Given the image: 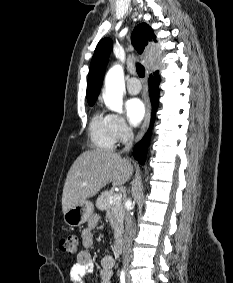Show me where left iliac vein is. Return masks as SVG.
Instances as JSON below:
<instances>
[{
    "label": "left iliac vein",
    "mask_w": 233,
    "mask_h": 283,
    "mask_svg": "<svg viewBox=\"0 0 233 283\" xmlns=\"http://www.w3.org/2000/svg\"><path fill=\"white\" fill-rule=\"evenodd\" d=\"M127 283H131L129 275H127Z\"/></svg>",
    "instance_id": "1"
}]
</instances>
